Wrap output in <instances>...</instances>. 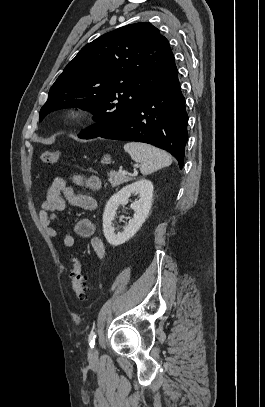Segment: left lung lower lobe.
<instances>
[{
	"mask_svg": "<svg viewBox=\"0 0 265 407\" xmlns=\"http://www.w3.org/2000/svg\"><path fill=\"white\" fill-rule=\"evenodd\" d=\"M187 122L185 98L177 73L156 88L125 119L98 137L155 145L170 152L182 168L188 138Z\"/></svg>",
	"mask_w": 265,
	"mask_h": 407,
	"instance_id": "obj_1",
	"label": "left lung lower lobe"
}]
</instances>
